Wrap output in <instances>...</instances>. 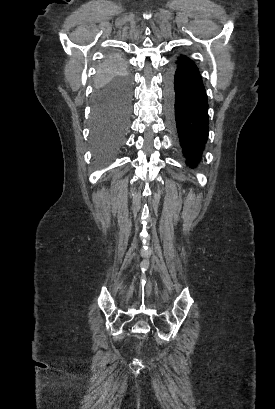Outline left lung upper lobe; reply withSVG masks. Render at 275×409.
Here are the masks:
<instances>
[{
  "instance_id": "obj_1",
  "label": "left lung upper lobe",
  "mask_w": 275,
  "mask_h": 409,
  "mask_svg": "<svg viewBox=\"0 0 275 409\" xmlns=\"http://www.w3.org/2000/svg\"><path fill=\"white\" fill-rule=\"evenodd\" d=\"M176 63L179 64L180 66L188 68L189 70L199 72V68L196 66L194 61H192L185 55H180Z\"/></svg>"
}]
</instances>
